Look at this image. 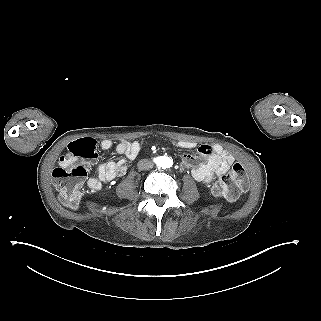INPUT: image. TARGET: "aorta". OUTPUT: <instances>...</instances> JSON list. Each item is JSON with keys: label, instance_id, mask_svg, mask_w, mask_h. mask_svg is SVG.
Here are the masks:
<instances>
[{"label": "aorta", "instance_id": "aorta-1", "mask_svg": "<svg viewBox=\"0 0 321 321\" xmlns=\"http://www.w3.org/2000/svg\"><path fill=\"white\" fill-rule=\"evenodd\" d=\"M159 164L162 168H170L173 165V160L170 157H161L159 160Z\"/></svg>", "mask_w": 321, "mask_h": 321}]
</instances>
